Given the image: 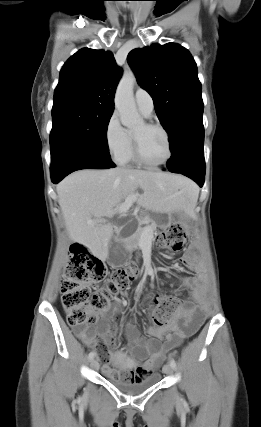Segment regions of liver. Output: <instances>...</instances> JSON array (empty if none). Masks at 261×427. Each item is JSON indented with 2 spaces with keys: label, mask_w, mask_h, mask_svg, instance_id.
Masks as SVG:
<instances>
[{
  "label": "liver",
  "mask_w": 261,
  "mask_h": 427,
  "mask_svg": "<svg viewBox=\"0 0 261 427\" xmlns=\"http://www.w3.org/2000/svg\"><path fill=\"white\" fill-rule=\"evenodd\" d=\"M138 188L143 193H136L137 204L152 212L189 211L196 204L191 195L195 184L180 175L126 168L79 170L56 187L70 239L104 261L113 235V227L104 217H111L114 208ZM88 220L95 224H88Z\"/></svg>",
  "instance_id": "6515ba94"
}]
</instances>
